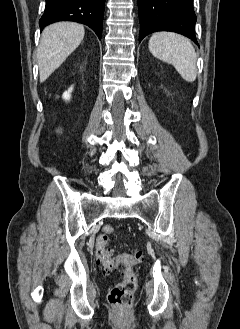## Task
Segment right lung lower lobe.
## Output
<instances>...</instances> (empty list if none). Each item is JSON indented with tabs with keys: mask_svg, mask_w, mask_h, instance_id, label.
<instances>
[{
	"mask_svg": "<svg viewBox=\"0 0 240 329\" xmlns=\"http://www.w3.org/2000/svg\"><path fill=\"white\" fill-rule=\"evenodd\" d=\"M105 0H46L41 30L54 22L74 21L89 26L101 39Z\"/></svg>",
	"mask_w": 240,
	"mask_h": 329,
	"instance_id": "obj_1",
	"label": "right lung lower lobe"
}]
</instances>
